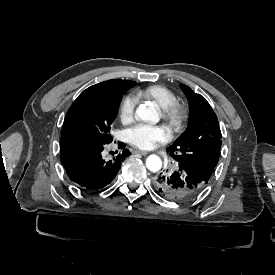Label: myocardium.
I'll list each match as a JSON object with an SVG mask.
<instances>
[{
	"instance_id": "myocardium-1",
	"label": "myocardium",
	"mask_w": 275,
	"mask_h": 275,
	"mask_svg": "<svg viewBox=\"0 0 275 275\" xmlns=\"http://www.w3.org/2000/svg\"><path fill=\"white\" fill-rule=\"evenodd\" d=\"M162 116L175 131L183 128L188 118L187 110L178 102L163 107Z\"/></svg>"
}]
</instances>
